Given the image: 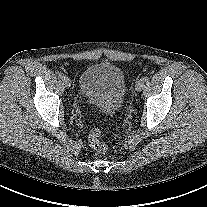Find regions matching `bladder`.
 I'll return each mask as SVG.
<instances>
[{
	"mask_svg": "<svg viewBox=\"0 0 207 207\" xmlns=\"http://www.w3.org/2000/svg\"><path fill=\"white\" fill-rule=\"evenodd\" d=\"M79 93L90 103L120 107L125 100L127 85L125 74L118 66L100 62L86 67L79 78Z\"/></svg>",
	"mask_w": 207,
	"mask_h": 207,
	"instance_id": "1",
	"label": "bladder"
}]
</instances>
